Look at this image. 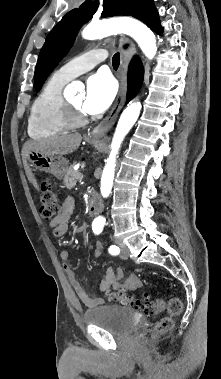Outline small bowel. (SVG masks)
Segmentation results:
<instances>
[{
    "instance_id": "obj_1",
    "label": "small bowel",
    "mask_w": 221,
    "mask_h": 379,
    "mask_svg": "<svg viewBox=\"0 0 221 379\" xmlns=\"http://www.w3.org/2000/svg\"><path fill=\"white\" fill-rule=\"evenodd\" d=\"M74 209V201L68 197L63 202L59 214L50 222L51 234L54 238L63 236L68 230V224ZM102 244H95V255L99 256L102 251ZM60 258L64 266L66 276L71 283L78 298L86 306H97L103 303L101 298H93L87 294L76 277L75 271L69 266L70 253L63 250L60 253ZM141 282L135 274L124 276L122 269L107 268L104 278L99 282L97 290L100 293L109 291H132L139 288Z\"/></svg>"
}]
</instances>
